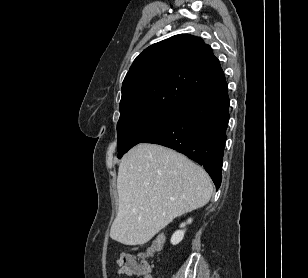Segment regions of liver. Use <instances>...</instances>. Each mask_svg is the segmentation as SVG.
I'll return each instance as SVG.
<instances>
[{
    "instance_id": "liver-1",
    "label": "liver",
    "mask_w": 308,
    "mask_h": 278,
    "mask_svg": "<svg viewBox=\"0 0 308 278\" xmlns=\"http://www.w3.org/2000/svg\"><path fill=\"white\" fill-rule=\"evenodd\" d=\"M119 208L110 237L142 245L178 216L206 205L213 186L207 172L161 145L140 143L121 159Z\"/></svg>"
}]
</instances>
